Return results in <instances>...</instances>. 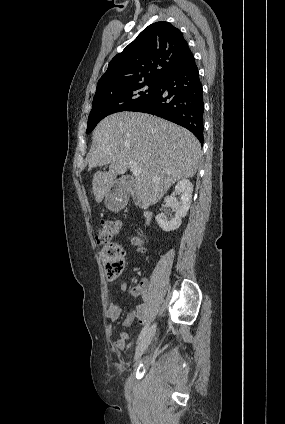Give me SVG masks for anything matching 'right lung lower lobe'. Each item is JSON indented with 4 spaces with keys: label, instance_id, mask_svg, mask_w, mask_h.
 <instances>
[{
    "label": "right lung lower lobe",
    "instance_id": "1",
    "mask_svg": "<svg viewBox=\"0 0 285 424\" xmlns=\"http://www.w3.org/2000/svg\"><path fill=\"white\" fill-rule=\"evenodd\" d=\"M203 89L193 59L162 80L160 90L130 111L159 116L191 131L203 144Z\"/></svg>",
    "mask_w": 285,
    "mask_h": 424
}]
</instances>
